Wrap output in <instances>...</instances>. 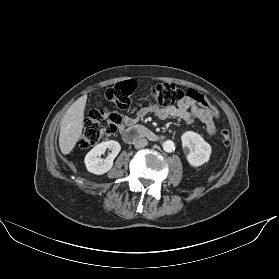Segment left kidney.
<instances>
[{"label": "left kidney", "instance_id": "obj_1", "mask_svg": "<svg viewBox=\"0 0 279 279\" xmlns=\"http://www.w3.org/2000/svg\"><path fill=\"white\" fill-rule=\"evenodd\" d=\"M181 141L190 165L198 167L209 161L211 146L198 133L187 131L182 134Z\"/></svg>", "mask_w": 279, "mask_h": 279}]
</instances>
